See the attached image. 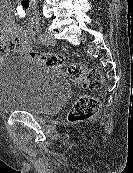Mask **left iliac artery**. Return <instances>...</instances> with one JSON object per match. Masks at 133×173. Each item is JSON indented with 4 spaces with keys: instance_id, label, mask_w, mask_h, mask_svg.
Masks as SVG:
<instances>
[{
    "instance_id": "obj_1",
    "label": "left iliac artery",
    "mask_w": 133,
    "mask_h": 173,
    "mask_svg": "<svg viewBox=\"0 0 133 173\" xmlns=\"http://www.w3.org/2000/svg\"><path fill=\"white\" fill-rule=\"evenodd\" d=\"M38 41H39V43H45V38H44V35L42 33L39 34Z\"/></svg>"
}]
</instances>
